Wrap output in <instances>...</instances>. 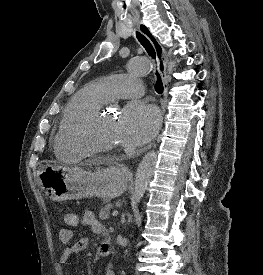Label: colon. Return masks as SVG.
I'll return each mask as SVG.
<instances>
[{
	"label": "colon",
	"instance_id": "colon-1",
	"mask_svg": "<svg viewBox=\"0 0 263 275\" xmlns=\"http://www.w3.org/2000/svg\"><path fill=\"white\" fill-rule=\"evenodd\" d=\"M64 222L68 227H75L78 225V216L73 212L64 214Z\"/></svg>",
	"mask_w": 263,
	"mask_h": 275
}]
</instances>
